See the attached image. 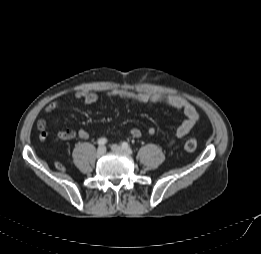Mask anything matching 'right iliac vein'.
I'll return each mask as SVG.
<instances>
[{
    "instance_id": "obj_1",
    "label": "right iliac vein",
    "mask_w": 261,
    "mask_h": 254,
    "mask_svg": "<svg viewBox=\"0 0 261 254\" xmlns=\"http://www.w3.org/2000/svg\"><path fill=\"white\" fill-rule=\"evenodd\" d=\"M105 153H106V148H105L104 146H100V147L97 149L96 156H97V158H100V157H102Z\"/></svg>"
}]
</instances>
